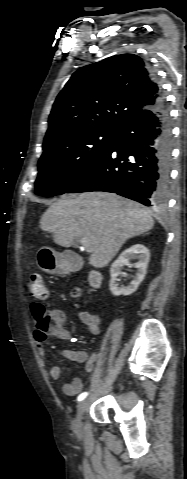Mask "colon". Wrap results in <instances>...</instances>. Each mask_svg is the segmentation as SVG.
Masks as SVG:
<instances>
[{"mask_svg": "<svg viewBox=\"0 0 187 479\" xmlns=\"http://www.w3.org/2000/svg\"><path fill=\"white\" fill-rule=\"evenodd\" d=\"M27 293L33 299H45L48 295L47 286L44 283L42 274L33 273L27 282ZM74 297H80L81 292L75 289L72 293ZM32 315L35 321V331L38 339H44L51 333V312L42 304L34 303L31 305Z\"/></svg>", "mask_w": 187, "mask_h": 479, "instance_id": "obj_1", "label": "colon"}]
</instances>
